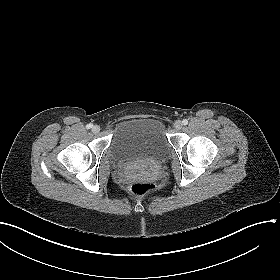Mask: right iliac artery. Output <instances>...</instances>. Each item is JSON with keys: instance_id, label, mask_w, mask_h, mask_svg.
<instances>
[{"instance_id": "82829eb1", "label": "right iliac artery", "mask_w": 280, "mask_h": 280, "mask_svg": "<svg viewBox=\"0 0 280 280\" xmlns=\"http://www.w3.org/2000/svg\"><path fill=\"white\" fill-rule=\"evenodd\" d=\"M92 127H93V124H91V123L86 126L87 129H90Z\"/></svg>"}]
</instances>
